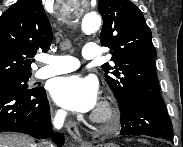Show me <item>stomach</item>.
Listing matches in <instances>:
<instances>
[{
  "instance_id": "0dacf381",
  "label": "stomach",
  "mask_w": 183,
  "mask_h": 147,
  "mask_svg": "<svg viewBox=\"0 0 183 147\" xmlns=\"http://www.w3.org/2000/svg\"><path fill=\"white\" fill-rule=\"evenodd\" d=\"M98 147H118V145L114 143H106V144H101Z\"/></svg>"
}]
</instances>
